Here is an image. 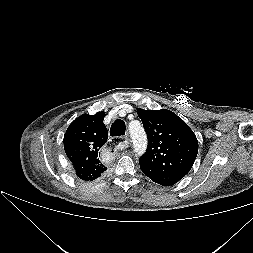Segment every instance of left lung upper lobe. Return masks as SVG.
I'll return each instance as SVG.
<instances>
[{"label": "left lung upper lobe", "mask_w": 253, "mask_h": 253, "mask_svg": "<svg viewBox=\"0 0 253 253\" xmlns=\"http://www.w3.org/2000/svg\"><path fill=\"white\" fill-rule=\"evenodd\" d=\"M148 137V147L139 159L142 172L152 181L170 186L191 169L198 153V141L191 128L167 110L138 109Z\"/></svg>", "instance_id": "left-lung-upper-lobe-1"}]
</instances>
